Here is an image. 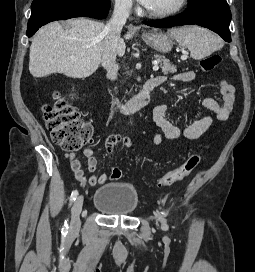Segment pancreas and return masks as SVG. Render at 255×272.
<instances>
[{"label": "pancreas", "instance_id": "pancreas-1", "mask_svg": "<svg viewBox=\"0 0 255 272\" xmlns=\"http://www.w3.org/2000/svg\"><path fill=\"white\" fill-rule=\"evenodd\" d=\"M155 58L159 61L162 65V72L167 75L169 73L177 72L176 66L170 63V61L158 54L155 55Z\"/></svg>", "mask_w": 255, "mask_h": 272}]
</instances>
